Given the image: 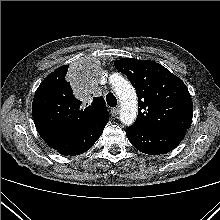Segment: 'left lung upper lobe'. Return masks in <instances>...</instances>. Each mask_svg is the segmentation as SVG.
Returning a JSON list of instances; mask_svg holds the SVG:
<instances>
[{"label":"left lung upper lobe","instance_id":"left-lung-upper-lobe-1","mask_svg":"<svg viewBox=\"0 0 220 220\" xmlns=\"http://www.w3.org/2000/svg\"><path fill=\"white\" fill-rule=\"evenodd\" d=\"M114 65L136 89L138 116L134 125L157 130L190 128L193 103L181 79L154 61L125 58Z\"/></svg>","mask_w":220,"mask_h":220}]
</instances>
